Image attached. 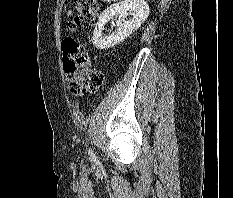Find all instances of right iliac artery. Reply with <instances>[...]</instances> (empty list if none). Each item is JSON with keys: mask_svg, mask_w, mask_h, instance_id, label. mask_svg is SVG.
<instances>
[{"mask_svg": "<svg viewBox=\"0 0 233 198\" xmlns=\"http://www.w3.org/2000/svg\"><path fill=\"white\" fill-rule=\"evenodd\" d=\"M89 154L92 157V159H94V160L96 159L95 155L93 154V151L91 149H89Z\"/></svg>", "mask_w": 233, "mask_h": 198, "instance_id": "obj_1", "label": "right iliac artery"}]
</instances>
